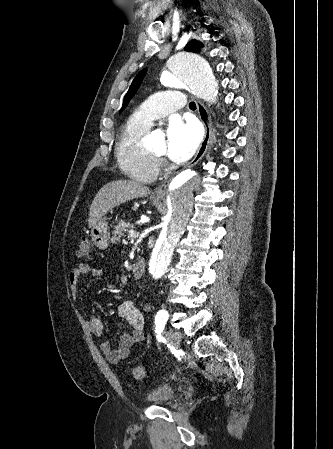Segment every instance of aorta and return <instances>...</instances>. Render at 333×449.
<instances>
[{
    "instance_id": "obj_1",
    "label": "aorta",
    "mask_w": 333,
    "mask_h": 449,
    "mask_svg": "<svg viewBox=\"0 0 333 449\" xmlns=\"http://www.w3.org/2000/svg\"><path fill=\"white\" fill-rule=\"evenodd\" d=\"M161 82L169 87L187 88L198 97L215 102L218 83L209 63L195 53L180 52L167 58L160 72ZM204 171L186 170L176 175L167 189L169 212L149 260L154 278L164 275L175 246L183 235L193 210L194 196L202 188Z\"/></svg>"
}]
</instances>
